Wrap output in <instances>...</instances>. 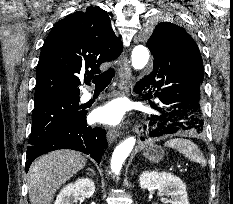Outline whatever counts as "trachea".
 Returning a JSON list of instances; mask_svg holds the SVG:
<instances>
[{
	"label": "trachea",
	"mask_w": 233,
	"mask_h": 204,
	"mask_svg": "<svg viewBox=\"0 0 233 204\" xmlns=\"http://www.w3.org/2000/svg\"><path fill=\"white\" fill-rule=\"evenodd\" d=\"M114 74H115V70L113 68H111V69L107 70L106 72H104L98 76H95L93 78V83L95 84V88L96 89L106 88L110 84Z\"/></svg>",
	"instance_id": "trachea-1"
}]
</instances>
